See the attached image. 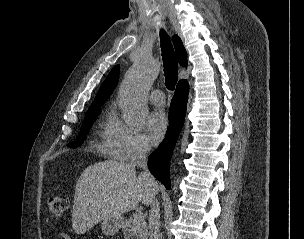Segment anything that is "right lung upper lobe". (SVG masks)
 Listing matches in <instances>:
<instances>
[{
  "label": "right lung upper lobe",
  "mask_w": 304,
  "mask_h": 239,
  "mask_svg": "<svg viewBox=\"0 0 304 239\" xmlns=\"http://www.w3.org/2000/svg\"><path fill=\"white\" fill-rule=\"evenodd\" d=\"M173 43L176 50V55L180 65L187 66V54L183 47V44L178 36L173 37ZM119 79V66H115L103 84L101 85L97 95L91 104L90 108L101 107L105 101L111 96L113 90L115 89Z\"/></svg>",
  "instance_id": "1"
}]
</instances>
